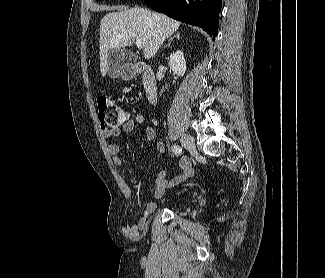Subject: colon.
Masks as SVG:
<instances>
[{"instance_id": "1", "label": "colon", "mask_w": 325, "mask_h": 278, "mask_svg": "<svg viewBox=\"0 0 325 278\" xmlns=\"http://www.w3.org/2000/svg\"><path fill=\"white\" fill-rule=\"evenodd\" d=\"M97 107L100 127L103 130L119 128L129 119L128 112L109 98L99 97Z\"/></svg>"}]
</instances>
